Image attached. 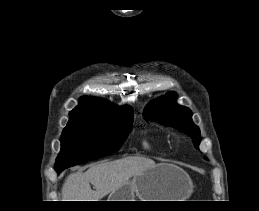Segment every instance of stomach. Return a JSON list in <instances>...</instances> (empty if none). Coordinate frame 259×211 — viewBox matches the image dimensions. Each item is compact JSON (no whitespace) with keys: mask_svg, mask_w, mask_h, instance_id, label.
Wrapping results in <instances>:
<instances>
[{"mask_svg":"<svg viewBox=\"0 0 259 211\" xmlns=\"http://www.w3.org/2000/svg\"><path fill=\"white\" fill-rule=\"evenodd\" d=\"M191 193V180L180 168L156 164L112 191L108 201H183Z\"/></svg>","mask_w":259,"mask_h":211,"instance_id":"1","label":"stomach"}]
</instances>
